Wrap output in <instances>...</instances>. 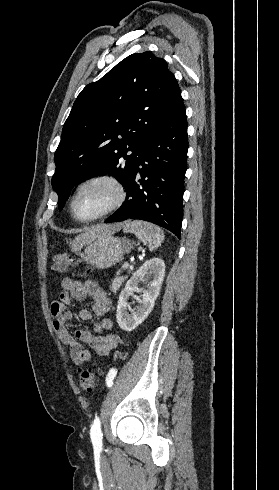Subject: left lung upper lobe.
Here are the masks:
<instances>
[{
    "mask_svg": "<svg viewBox=\"0 0 279 490\" xmlns=\"http://www.w3.org/2000/svg\"><path fill=\"white\" fill-rule=\"evenodd\" d=\"M182 100L164 59L132 54L78 95L55 152L52 187L62 210L73 186L113 174L126 188L153 128Z\"/></svg>",
    "mask_w": 279,
    "mask_h": 490,
    "instance_id": "obj_1",
    "label": "left lung upper lobe"
}]
</instances>
